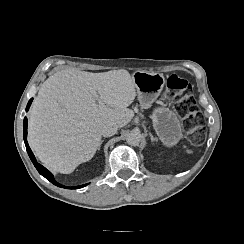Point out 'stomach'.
Wrapping results in <instances>:
<instances>
[{
  "label": "stomach",
  "mask_w": 244,
  "mask_h": 244,
  "mask_svg": "<svg viewBox=\"0 0 244 244\" xmlns=\"http://www.w3.org/2000/svg\"><path fill=\"white\" fill-rule=\"evenodd\" d=\"M132 79L138 94L140 105L148 108L160 95L165 77L162 73L135 71ZM151 119L160 140L167 147L175 146L182 139V124L177 115L166 107L156 108Z\"/></svg>",
  "instance_id": "1"
}]
</instances>
